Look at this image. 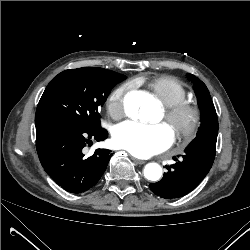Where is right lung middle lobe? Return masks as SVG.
Segmentation results:
<instances>
[{"instance_id": "dd1d6c3e", "label": "right lung middle lobe", "mask_w": 250, "mask_h": 250, "mask_svg": "<svg viewBox=\"0 0 250 250\" xmlns=\"http://www.w3.org/2000/svg\"><path fill=\"white\" fill-rule=\"evenodd\" d=\"M125 78L96 67L65 70L46 87L37 106L35 122H67L98 129L101 107L111 89Z\"/></svg>"}]
</instances>
